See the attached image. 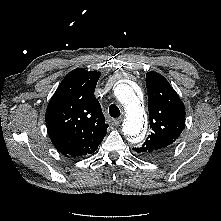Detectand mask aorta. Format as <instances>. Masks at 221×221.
I'll list each match as a JSON object with an SVG mask.
<instances>
[{
  "label": "aorta",
  "mask_w": 221,
  "mask_h": 221,
  "mask_svg": "<svg viewBox=\"0 0 221 221\" xmlns=\"http://www.w3.org/2000/svg\"><path fill=\"white\" fill-rule=\"evenodd\" d=\"M115 96L121 103L125 112L122 131L132 143L140 142L145 135L147 115L133 88L121 83L115 88Z\"/></svg>",
  "instance_id": "1"
}]
</instances>
